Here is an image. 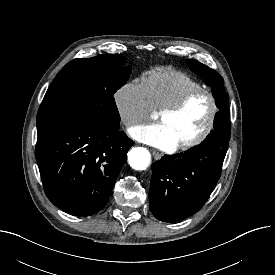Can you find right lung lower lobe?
Here are the masks:
<instances>
[{"label": "right lung lower lobe", "mask_w": 275, "mask_h": 275, "mask_svg": "<svg viewBox=\"0 0 275 275\" xmlns=\"http://www.w3.org/2000/svg\"><path fill=\"white\" fill-rule=\"evenodd\" d=\"M132 145L119 126L95 122L68 124L38 136L35 156L46 196L71 215L97 213Z\"/></svg>", "instance_id": "1"}]
</instances>
